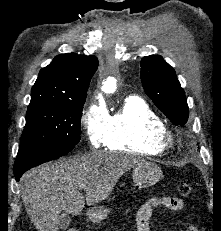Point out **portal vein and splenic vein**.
Instances as JSON below:
<instances>
[{"mask_svg":"<svg viewBox=\"0 0 221 231\" xmlns=\"http://www.w3.org/2000/svg\"><path fill=\"white\" fill-rule=\"evenodd\" d=\"M82 188H83V189H86V187H85V186H83Z\"/></svg>","mask_w":221,"mask_h":231,"instance_id":"1","label":"portal vein and splenic vein"}]
</instances>
